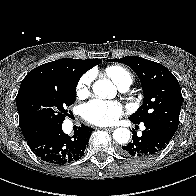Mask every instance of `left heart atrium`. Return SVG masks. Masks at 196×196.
Listing matches in <instances>:
<instances>
[{
	"instance_id": "left-heart-atrium-1",
	"label": "left heart atrium",
	"mask_w": 196,
	"mask_h": 196,
	"mask_svg": "<svg viewBox=\"0 0 196 196\" xmlns=\"http://www.w3.org/2000/svg\"><path fill=\"white\" fill-rule=\"evenodd\" d=\"M123 113V106L117 101L95 99L83 106L82 114L89 123L106 126L118 120Z\"/></svg>"
}]
</instances>
